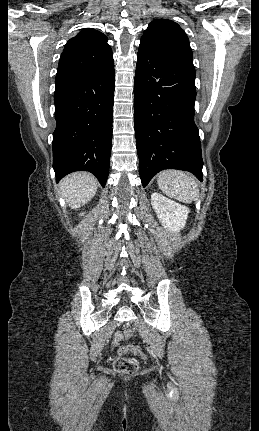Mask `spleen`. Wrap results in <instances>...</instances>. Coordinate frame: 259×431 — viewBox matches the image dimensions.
Returning <instances> with one entry per match:
<instances>
[{"instance_id":"obj_1","label":"spleen","mask_w":259,"mask_h":431,"mask_svg":"<svg viewBox=\"0 0 259 431\" xmlns=\"http://www.w3.org/2000/svg\"><path fill=\"white\" fill-rule=\"evenodd\" d=\"M157 183L167 196L183 203H191L199 196L195 179L184 171L164 170L158 174Z\"/></svg>"}]
</instances>
